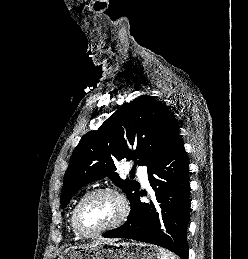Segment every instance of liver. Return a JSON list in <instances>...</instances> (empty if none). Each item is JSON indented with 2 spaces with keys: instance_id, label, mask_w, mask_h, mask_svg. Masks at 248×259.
<instances>
[{
  "instance_id": "1",
  "label": "liver",
  "mask_w": 248,
  "mask_h": 259,
  "mask_svg": "<svg viewBox=\"0 0 248 259\" xmlns=\"http://www.w3.org/2000/svg\"><path fill=\"white\" fill-rule=\"evenodd\" d=\"M115 241H116L115 239L100 238V239H98L90 244L84 245V246H95V245H98L101 243H113Z\"/></svg>"
}]
</instances>
